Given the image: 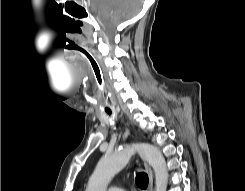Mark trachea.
<instances>
[{"label": "trachea", "instance_id": "obj_1", "mask_svg": "<svg viewBox=\"0 0 245 191\" xmlns=\"http://www.w3.org/2000/svg\"><path fill=\"white\" fill-rule=\"evenodd\" d=\"M80 54L91 66L97 81V87L99 92L104 95L105 85L102 72L95 57L87 49H79ZM104 111L107 115H111L112 111L107 103L103 104ZM136 184L138 187L145 189L148 186V175L144 172H139L136 175Z\"/></svg>", "mask_w": 245, "mask_h": 191}]
</instances>
